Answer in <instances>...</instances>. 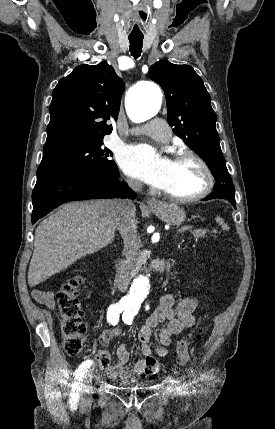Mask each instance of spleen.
<instances>
[{
	"label": "spleen",
	"mask_w": 275,
	"mask_h": 429,
	"mask_svg": "<svg viewBox=\"0 0 275 429\" xmlns=\"http://www.w3.org/2000/svg\"><path fill=\"white\" fill-rule=\"evenodd\" d=\"M216 222L221 225L223 230H229V226L224 223L223 219L220 217L216 218Z\"/></svg>",
	"instance_id": "obj_1"
}]
</instances>
